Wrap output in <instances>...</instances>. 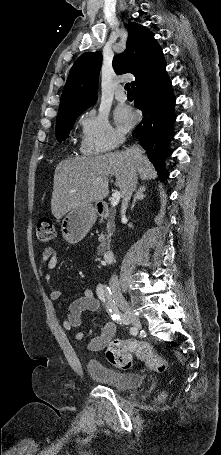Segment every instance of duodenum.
Listing matches in <instances>:
<instances>
[{"mask_svg": "<svg viewBox=\"0 0 221 455\" xmlns=\"http://www.w3.org/2000/svg\"><path fill=\"white\" fill-rule=\"evenodd\" d=\"M97 211L103 217H108L109 216V207L108 206L100 205L98 207ZM113 256H114V252H113V249H111V248H108V249L104 250V252L102 254V258L106 262L112 261Z\"/></svg>", "mask_w": 221, "mask_h": 455, "instance_id": "410a0bca", "label": "duodenum"}]
</instances>
